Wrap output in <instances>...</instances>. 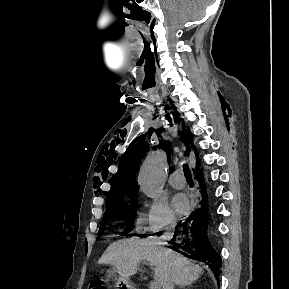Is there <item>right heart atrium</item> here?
<instances>
[{
	"label": "right heart atrium",
	"mask_w": 289,
	"mask_h": 289,
	"mask_svg": "<svg viewBox=\"0 0 289 289\" xmlns=\"http://www.w3.org/2000/svg\"><path fill=\"white\" fill-rule=\"evenodd\" d=\"M144 224L149 233H157L175 226L176 217L165 198L160 197L148 202Z\"/></svg>",
	"instance_id": "1"
}]
</instances>
